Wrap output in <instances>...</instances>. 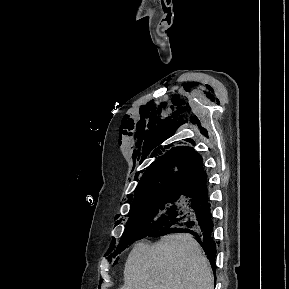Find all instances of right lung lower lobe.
Masks as SVG:
<instances>
[{
    "instance_id": "1",
    "label": "right lung lower lobe",
    "mask_w": 289,
    "mask_h": 289,
    "mask_svg": "<svg viewBox=\"0 0 289 289\" xmlns=\"http://www.w3.org/2000/svg\"><path fill=\"white\" fill-rule=\"evenodd\" d=\"M200 202L194 208L193 213L177 227L170 230V233L186 232L197 238L208 256L211 266L215 271V241L212 239L213 222L211 218L210 203L207 199V191L198 196ZM163 233H155L152 237L163 236ZM166 235V234H165Z\"/></svg>"
}]
</instances>
